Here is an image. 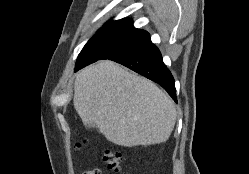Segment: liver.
Masks as SVG:
<instances>
[{
  "mask_svg": "<svg viewBox=\"0 0 249 174\" xmlns=\"http://www.w3.org/2000/svg\"><path fill=\"white\" fill-rule=\"evenodd\" d=\"M73 104L84 124L94 123L124 147L165 142L177 116L173 101L153 82L109 60L76 74Z\"/></svg>",
  "mask_w": 249,
  "mask_h": 174,
  "instance_id": "liver-1",
  "label": "liver"
}]
</instances>
